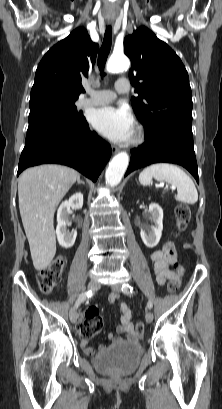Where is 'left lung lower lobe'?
<instances>
[{
  "label": "left lung lower lobe",
  "mask_w": 222,
  "mask_h": 409,
  "mask_svg": "<svg viewBox=\"0 0 222 409\" xmlns=\"http://www.w3.org/2000/svg\"><path fill=\"white\" fill-rule=\"evenodd\" d=\"M145 135V143L131 152V160L125 176L153 163L168 162L182 165L199 182L190 125L177 121L161 122L146 130Z\"/></svg>",
  "instance_id": "left-lung-lower-lobe-1"
}]
</instances>
